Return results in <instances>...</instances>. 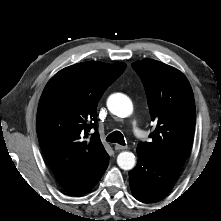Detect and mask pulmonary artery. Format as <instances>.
Here are the masks:
<instances>
[{"mask_svg": "<svg viewBox=\"0 0 221 221\" xmlns=\"http://www.w3.org/2000/svg\"><path fill=\"white\" fill-rule=\"evenodd\" d=\"M134 133L137 137H141V135H142L141 132L137 129H134Z\"/></svg>", "mask_w": 221, "mask_h": 221, "instance_id": "pulmonary-artery-1", "label": "pulmonary artery"}]
</instances>
